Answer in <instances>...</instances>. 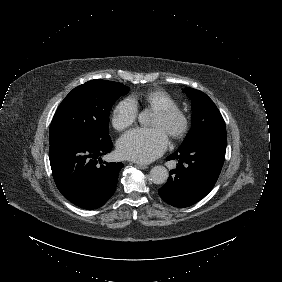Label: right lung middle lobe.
Returning <instances> with one entry per match:
<instances>
[{
    "mask_svg": "<svg viewBox=\"0 0 282 282\" xmlns=\"http://www.w3.org/2000/svg\"><path fill=\"white\" fill-rule=\"evenodd\" d=\"M129 91L121 83L91 80L74 88L61 102L51 122L49 142L82 135L108 140L110 110L115 101Z\"/></svg>",
    "mask_w": 282,
    "mask_h": 282,
    "instance_id": "obj_1",
    "label": "right lung middle lobe"
}]
</instances>
